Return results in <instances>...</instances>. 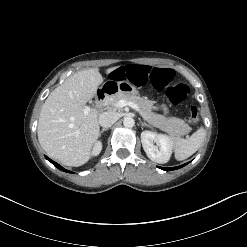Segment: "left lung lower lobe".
<instances>
[{
    "label": "left lung lower lobe",
    "instance_id": "obj_1",
    "mask_svg": "<svg viewBox=\"0 0 247 247\" xmlns=\"http://www.w3.org/2000/svg\"><path fill=\"white\" fill-rule=\"evenodd\" d=\"M186 164H183V165H180V166H177V167H171V168H164V167H159V168L162 169V170H165V171H171V170L179 169V168L185 166Z\"/></svg>",
    "mask_w": 247,
    "mask_h": 247
}]
</instances>
